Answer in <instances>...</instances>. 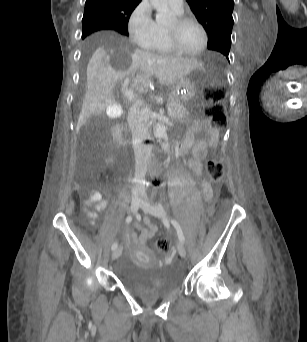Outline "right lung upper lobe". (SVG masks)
Listing matches in <instances>:
<instances>
[{"label": "right lung upper lobe", "mask_w": 307, "mask_h": 342, "mask_svg": "<svg viewBox=\"0 0 307 342\" xmlns=\"http://www.w3.org/2000/svg\"><path fill=\"white\" fill-rule=\"evenodd\" d=\"M141 0H86L84 13L103 17L108 29L127 31L129 17Z\"/></svg>", "instance_id": "right-lung-upper-lobe-1"}]
</instances>
